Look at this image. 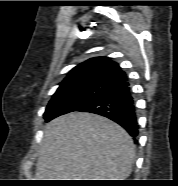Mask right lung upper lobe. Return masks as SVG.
I'll list each match as a JSON object with an SVG mask.
<instances>
[{
	"label": "right lung upper lobe",
	"instance_id": "obj_1",
	"mask_svg": "<svg viewBox=\"0 0 178 186\" xmlns=\"http://www.w3.org/2000/svg\"><path fill=\"white\" fill-rule=\"evenodd\" d=\"M126 79L116 62L107 57H94L74 67L60 83L58 90L88 84L113 85Z\"/></svg>",
	"mask_w": 178,
	"mask_h": 186
}]
</instances>
